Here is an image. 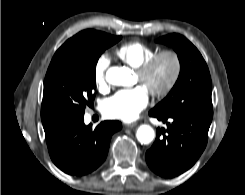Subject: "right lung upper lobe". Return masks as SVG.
<instances>
[{
    "mask_svg": "<svg viewBox=\"0 0 245 195\" xmlns=\"http://www.w3.org/2000/svg\"><path fill=\"white\" fill-rule=\"evenodd\" d=\"M41 119L43 123L44 130H48L60 124L58 121L54 120L45 108L41 109Z\"/></svg>",
    "mask_w": 245,
    "mask_h": 195,
    "instance_id": "obj_1",
    "label": "right lung upper lobe"
}]
</instances>
